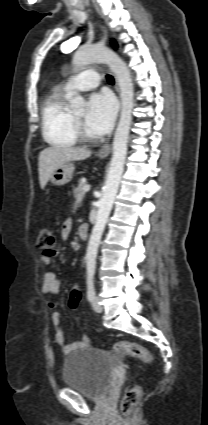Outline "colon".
Segmentation results:
<instances>
[{
  "mask_svg": "<svg viewBox=\"0 0 208 425\" xmlns=\"http://www.w3.org/2000/svg\"><path fill=\"white\" fill-rule=\"evenodd\" d=\"M36 247L43 252V254L52 255L55 250V237L49 229H42L39 232L36 241ZM82 292L78 286H73L70 291L69 306L71 309H76L81 301ZM113 350L116 353H125L130 356L136 357L152 366L154 363V357L152 353L141 345L133 342L120 341L113 345ZM142 388L140 386H134L129 389L124 395L121 402V411L123 414L128 415L135 408L142 396Z\"/></svg>",
  "mask_w": 208,
  "mask_h": 425,
  "instance_id": "obj_1",
  "label": "colon"
}]
</instances>
